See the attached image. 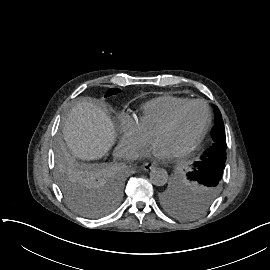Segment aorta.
<instances>
[{
  "label": "aorta",
  "instance_id": "obj_1",
  "mask_svg": "<svg viewBox=\"0 0 270 270\" xmlns=\"http://www.w3.org/2000/svg\"><path fill=\"white\" fill-rule=\"evenodd\" d=\"M168 174L165 169L155 168L150 172V182L156 186H163L167 183Z\"/></svg>",
  "mask_w": 270,
  "mask_h": 270
}]
</instances>
